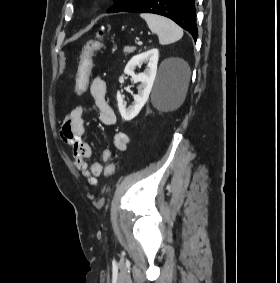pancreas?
<instances>
[{"mask_svg":"<svg viewBox=\"0 0 280 283\" xmlns=\"http://www.w3.org/2000/svg\"><path fill=\"white\" fill-rule=\"evenodd\" d=\"M135 51V47L133 46H126L124 47V53L125 55H128L130 53H133Z\"/></svg>","mask_w":280,"mask_h":283,"instance_id":"1","label":"pancreas"}]
</instances>
